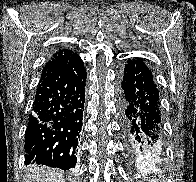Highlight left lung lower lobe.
Returning <instances> with one entry per match:
<instances>
[{"label": "left lung lower lobe", "mask_w": 196, "mask_h": 182, "mask_svg": "<svg viewBox=\"0 0 196 182\" xmlns=\"http://www.w3.org/2000/svg\"><path fill=\"white\" fill-rule=\"evenodd\" d=\"M122 118L131 154L139 159L162 153L159 91L154 76L140 59L127 60L122 78Z\"/></svg>", "instance_id": "0a47b994"}]
</instances>
